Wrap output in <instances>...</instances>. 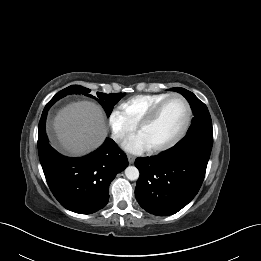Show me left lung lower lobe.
I'll use <instances>...</instances> for the list:
<instances>
[{
  "label": "left lung lower lobe",
  "instance_id": "left-lung-lower-lobe-1",
  "mask_svg": "<svg viewBox=\"0 0 261 261\" xmlns=\"http://www.w3.org/2000/svg\"><path fill=\"white\" fill-rule=\"evenodd\" d=\"M212 145L213 135L191 134L158 156L137 158L135 196L140 206L158 216L186 206L201 187Z\"/></svg>",
  "mask_w": 261,
  "mask_h": 261
}]
</instances>
